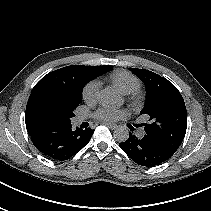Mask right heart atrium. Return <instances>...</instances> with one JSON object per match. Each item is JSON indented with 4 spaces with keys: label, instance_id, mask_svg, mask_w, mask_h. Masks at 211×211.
Returning a JSON list of instances; mask_svg holds the SVG:
<instances>
[{
    "label": "right heart atrium",
    "instance_id": "1",
    "mask_svg": "<svg viewBox=\"0 0 211 211\" xmlns=\"http://www.w3.org/2000/svg\"><path fill=\"white\" fill-rule=\"evenodd\" d=\"M100 82L98 80H91L88 82L82 91L83 99L87 103H94L99 97Z\"/></svg>",
    "mask_w": 211,
    "mask_h": 211
}]
</instances>
